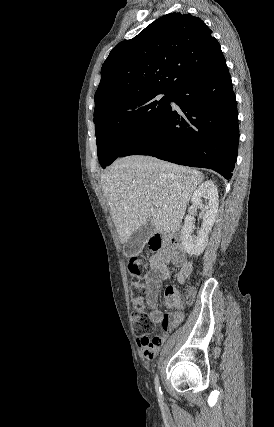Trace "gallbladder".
<instances>
[{"label": "gallbladder", "instance_id": "obj_1", "mask_svg": "<svg viewBox=\"0 0 274 427\" xmlns=\"http://www.w3.org/2000/svg\"><path fill=\"white\" fill-rule=\"evenodd\" d=\"M153 235V225L149 223H145L136 231H133L132 235H130L128 241L124 243L123 253L126 257H132V255H138L140 251H142L148 237Z\"/></svg>", "mask_w": 274, "mask_h": 427}]
</instances>
